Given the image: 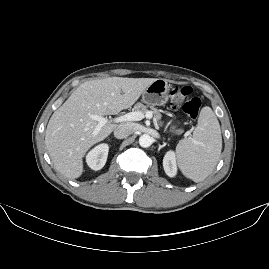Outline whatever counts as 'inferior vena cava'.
<instances>
[{"label":"inferior vena cava","mask_w":269,"mask_h":269,"mask_svg":"<svg viewBox=\"0 0 269 269\" xmlns=\"http://www.w3.org/2000/svg\"><path fill=\"white\" fill-rule=\"evenodd\" d=\"M135 131V128L133 124L131 123H123L120 124L115 130H114V137L116 139H124L133 134Z\"/></svg>","instance_id":"1"}]
</instances>
